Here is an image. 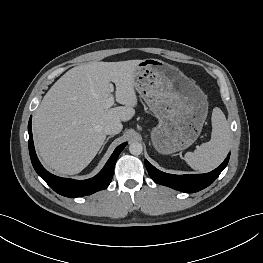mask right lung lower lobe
I'll use <instances>...</instances> for the list:
<instances>
[{
  "mask_svg": "<svg viewBox=\"0 0 263 263\" xmlns=\"http://www.w3.org/2000/svg\"><path fill=\"white\" fill-rule=\"evenodd\" d=\"M28 132L29 153L35 171L55 192L70 198L90 195L107 188L113 177L116 160L121 151L127 145V143L119 145L107 161L104 168L95 177L78 181L68 178H60L52 175L41 165L34 149L31 129V117L28 123Z\"/></svg>",
  "mask_w": 263,
  "mask_h": 263,
  "instance_id": "right-lung-lower-lobe-1",
  "label": "right lung lower lobe"
}]
</instances>
